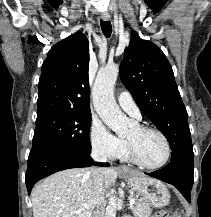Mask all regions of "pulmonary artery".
Segmentation results:
<instances>
[{
  "label": "pulmonary artery",
  "mask_w": 211,
  "mask_h": 217,
  "mask_svg": "<svg viewBox=\"0 0 211 217\" xmlns=\"http://www.w3.org/2000/svg\"><path fill=\"white\" fill-rule=\"evenodd\" d=\"M117 101L123 111L136 119H141L140 109L127 90H123L119 93Z\"/></svg>",
  "instance_id": "1"
}]
</instances>
